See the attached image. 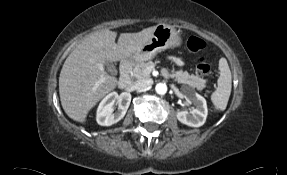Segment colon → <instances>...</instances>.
Segmentation results:
<instances>
[{
    "instance_id": "1",
    "label": "colon",
    "mask_w": 287,
    "mask_h": 175,
    "mask_svg": "<svg viewBox=\"0 0 287 175\" xmlns=\"http://www.w3.org/2000/svg\"><path fill=\"white\" fill-rule=\"evenodd\" d=\"M187 48L192 52H199L205 48V42L198 36H191L187 41ZM196 72L200 76H208L210 64L207 58L201 57L196 66Z\"/></svg>"
}]
</instances>
